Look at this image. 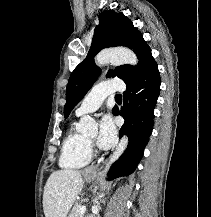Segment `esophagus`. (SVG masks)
Masks as SVG:
<instances>
[{
	"instance_id": "34e87169",
	"label": "esophagus",
	"mask_w": 211,
	"mask_h": 217,
	"mask_svg": "<svg viewBox=\"0 0 211 217\" xmlns=\"http://www.w3.org/2000/svg\"><path fill=\"white\" fill-rule=\"evenodd\" d=\"M96 170V166H90L89 168H88V171L90 172V171H95Z\"/></svg>"
}]
</instances>
